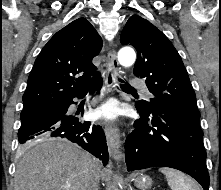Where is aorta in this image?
Masks as SVG:
<instances>
[{
	"instance_id": "762f6f07",
	"label": "aorta",
	"mask_w": 221,
	"mask_h": 190,
	"mask_svg": "<svg viewBox=\"0 0 221 190\" xmlns=\"http://www.w3.org/2000/svg\"><path fill=\"white\" fill-rule=\"evenodd\" d=\"M136 60L135 51L130 47H123L118 52V61L124 67H129L134 64Z\"/></svg>"
}]
</instances>
